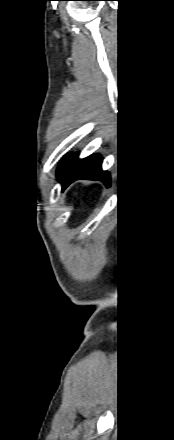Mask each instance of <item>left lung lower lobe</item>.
<instances>
[{"instance_id": "left-lung-lower-lobe-1", "label": "left lung lower lobe", "mask_w": 174, "mask_h": 440, "mask_svg": "<svg viewBox=\"0 0 174 440\" xmlns=\"http://www.w3.org/2000/svg\"><path fill=\"white\" fill-rule=\"evenodd\" d=\"M77 179L101 180L109 185L110 174L102 171V158L99 155H91L79 160L77 155L71 154L66 167L59 175L62 189Z\"/></svg>"}]
</instances>
